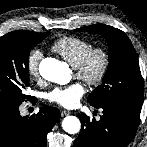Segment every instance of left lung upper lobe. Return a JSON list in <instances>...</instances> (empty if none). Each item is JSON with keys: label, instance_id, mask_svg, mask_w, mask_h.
Segmentation results:
<instances>
[{"label": "left lung upper lobe", "instance_id": "1", "mask_svg": "<svg viewBox=\"0 0 147 147\" xmlns=\"http://www.w3.org/2000/svg\"><path fill=\"white\" fill-rule=\"evenodd\" d=\"M77 32H93L104 36L109 48V65L99 85L89 96L90 105H125L141 112L143 86L136 51L127 35L104 24L76 29Z\"/></svg>", "mask_w": 147, "mask_h": 147}]
</instances>
